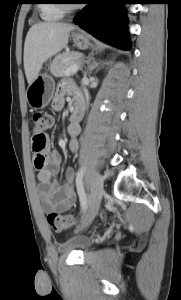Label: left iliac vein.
Instances as JSON below:
<instances>
[{
  "label": "left iliac vein",
  "instance_id": "obj_1",
  "mask_svg": "<svg viewBox=\"0 0 181 300\" xmlns=\"http://www.w3.org/2000/svg\"><path fill=\"white\" fill-rule=\"evenodd\" d=\"M103 195V177L100 174L95 173L92 178L91 193L89 195V207L83 218L80 228L89 226L92 220L95 218L98 213Z\"/></svg>",
  "mask_w": 181,
  "mask_h": 300
}]
</instances>
